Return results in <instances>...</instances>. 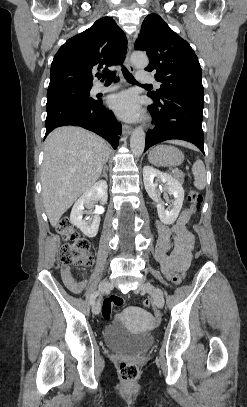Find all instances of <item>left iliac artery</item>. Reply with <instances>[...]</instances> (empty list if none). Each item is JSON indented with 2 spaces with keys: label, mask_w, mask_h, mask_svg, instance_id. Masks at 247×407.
Listing matches in <instances>:
<instances>
[{
  "label": "left iliac artery",
  "mask_w": 247,
  "mask_h": 407,
  "mask_svg": "<svg viewBox=\"0 0 247 407\" xmlns=\"http://www.w3.org/2000/svg\"><path fill=\"white\" fill-rule=\"evenodd\" d=\"M158 291H159L161 294H163V292H162L160 289H158Z\"/></svg>",
  "instance_id": "obj_1"
}]
</instances>
